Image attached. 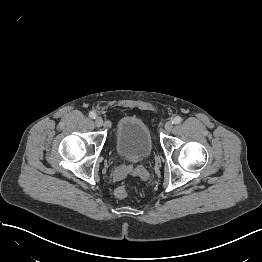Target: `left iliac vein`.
<instances>
[{
    "label": "left iliac vein",
    "mask_w": 262,
    "mask_h": 262,
    "mask_svg": "<svg viewBox=\"0 0 262 262\" xmlns=\"http://www.w3.org/2000/svg\"><path fill=\"white\" fill-rule=\"evenodd\" d=\"M173 128V123L171 121H168L166 124H165V130L166 131H171Z\"/></svg>",
    "instance_id": "1"
}]
</instances>
